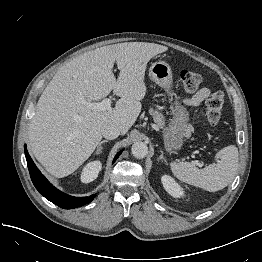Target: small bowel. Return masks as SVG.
<instances>
[{
  "label": "small bowel",
  "mask_w": 262,
  "mask_h": 262,
  "mask_svg": "<svg viewBox=\"0 0 262 262\" xmlns=\"http://www.w3.org/2000/svg\"><path fill=\"white\" fill-rule=\"evenodd\" d=\"M211 94L210 89L204 87L199 89L190 98L184 100L187 105L196 106L202 103Z\"/></svg>",
  "instance_id": "small-bowel-1"
}]
</instances>
